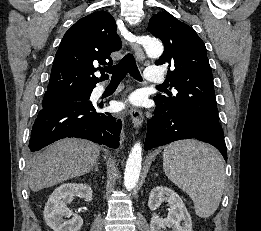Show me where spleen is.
I'll return each instance as SVG.
<instances>
[{"label":"spleen","instance_id":"spleen-1","mask_svg":"<svg viewBox=\"0 0 261 231\" xmlns=\"http://www.w3.org/2000/svg\"><path fill=\"white\" fill-rule=\"evenodd\" d=\"M163 168L167 177L193 200L195 212L207 218L218 208L225 184L224 161L213 147L196 140L166 146Z\"/></svg>","mask_w":261,"mask_h":231}]
</instances>
